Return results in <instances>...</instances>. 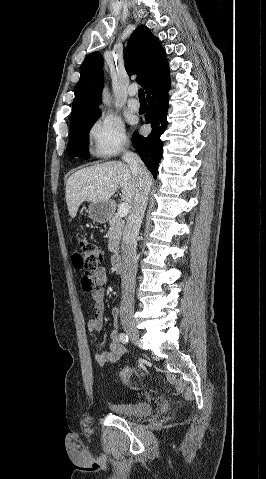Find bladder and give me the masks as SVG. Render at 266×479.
Masks as SVG:
<instances>
[{
    "label": "bladder",
    "instance_id": "obj_1",
    "mask_svg": "<svg viewBox=\"0 0 266 479\" xmlns=\"http://www.w3.org/2000/svg\"><path fill=\"white\" fill-rule=\"evenodd\" d=\"M110 409L122 417L144 416L152 412L151 404L146 401L113 403L110 405Z\"/></svg>",
    "mask_w": 266,
    "mask_h": 479
}]
</instances>
